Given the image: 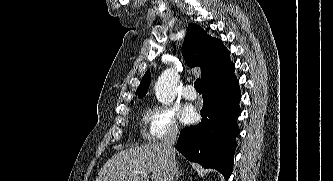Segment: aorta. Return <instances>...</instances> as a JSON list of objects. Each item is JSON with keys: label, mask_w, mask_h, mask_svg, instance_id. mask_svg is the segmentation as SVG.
<instances>
[{"label": "aorta", "mask_w": 333, "mask_h": 181, "mask_svg": "<svg viewBox=\"0 0 333 181\" xmlns=\"http://www.w3.org/2000/svg\"><path fill=\"white\" fill-rule=\"evenodd\" d=\"M177 80L178 75L173 69L169 68L162 72L154 86L156 98L160 103L168 105L174 101Z\"/></svg>", "instance_id": "obj_1"}]
</instances>
